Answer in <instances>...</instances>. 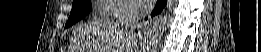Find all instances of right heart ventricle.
Wrapping results in <instances>:
<instances>
[{"mask_svg": "<svg viewBox=\"0 0 261 52\" xmlns=\"http://www.w3.org/2000/svg\"><path fill=\"white\" fill-rule=\"evenodd\" d=\"M112 9H115V7L112 6V5L103 4V5H101L100 8H99L100 15H101L102 17H105V16L108 14V12H109L110 10H112Z\"/></svg>", "mask_w": 261, "mask_h": 52, "instance_id": "right-heart-ventricle-1", "label": "right heart ventricle"}]
</instances>
